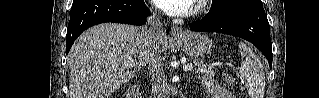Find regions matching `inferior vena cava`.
Here are the masks:
<instances>
[{
  "mask_svg": "<svg viewBox=\"0 0 319 98\" xmlns=\"http://www.w3.org/2000/svg\"><path fill=\"white\" fill-rule=\"evenodd\" d=\"M149 26L145 27L150 41L148 69L152 83L151 98H168V86L162 64L161 42L166 37L163 24L156 14L148 18Z\"/></svg>",
  "mask_w": 319,
  "mask_h": 98,
  "instance_id": "obj_1",
  "label": "inferior vena cava"
}]
</instances>
